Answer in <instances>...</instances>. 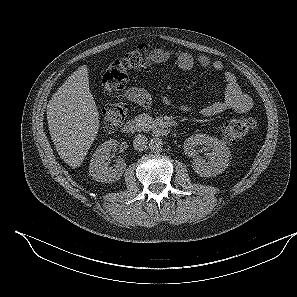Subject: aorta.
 Masks as SVG:
<instances>
[{"label": "aorta", "instance_id": "762f6f07", "mask_svg": "<svg viewBox=\"0 0 297 297\" xmlns=\"http://www.w3.org/2000/svg\"><path fill=\"white\" fill-rule=\"evenodd\" d=\"M149 148L153 152H160L163 148V142L159 138H152L149 142Z\"/></svg>", "mask_w": 297, "mask_h": 297}]
</instances>
